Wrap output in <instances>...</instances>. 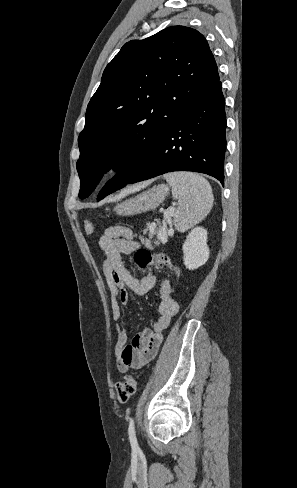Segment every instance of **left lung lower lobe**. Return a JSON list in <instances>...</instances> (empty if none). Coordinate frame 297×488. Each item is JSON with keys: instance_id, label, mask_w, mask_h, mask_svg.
Segmentation results:
<instances>
[{"instance_id": "0a47b994", "label": "left lung lower lobe", "mask_w": 297, "mask_h": 488, "mask_svg": "<svg viewBox=\"0 0 297 488\" xmlns=\"http://www.w3.org/2000/svg\"><path fill=\"white\" fill-rule=\"evenodd\" d=\"M224 107L225 99L219 81L182 115L127 184L172 171H193L213 176L224 185Z\"/></svg>"}]
</instances>
